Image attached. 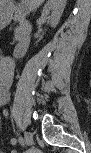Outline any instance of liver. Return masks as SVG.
<instances>
[{
    "label": "liver",
    "instance_id": "6515ba94",
    "mask_svg": "<svg viewBox=\"0 0 91 153\" xmlns=\"http://www.w3.org/2000/svg\"><path fill=\"white\" fill-rule=\"evenodd\" d=\"M61 1L64 5L66 4L65 0H61ZM43 2H44V0H25V6L30 11H33V10L37 9Z\"/></svg>",
    "mask_w": 91,
    "mask_h": 153
}]
</instances>
